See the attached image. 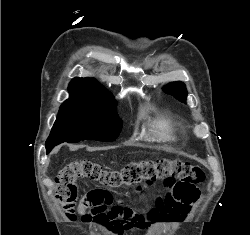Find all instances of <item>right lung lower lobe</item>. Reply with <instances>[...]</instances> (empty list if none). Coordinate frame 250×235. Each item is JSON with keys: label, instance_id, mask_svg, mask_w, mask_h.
I'll return each mask as SVG.
<instances>
[{"label": "right lung lower lobe", "instance_id": "right-lung-lower-lobe-1", "mask_svg": "<svg viewBox=\"0 0 250 235\" xmlns=\"http://www.w3.org/2000/svg\"><path fill=\"white\" fill-rule=\"evenodd\" d=\"M54 146H56V145L55 144H53V145H46L47 153H49Z\"/></svg>", "mask_w": 250, "mask_h": 235}]
</instances>
